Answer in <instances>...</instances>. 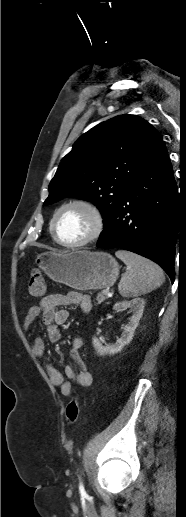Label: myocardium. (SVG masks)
Masks as SVG:
<instances>
[{
  "instance_id": "f54148a6",
  "label": "myocardium",
  "mask_w": 186,
  "mask_h": 517,
  "mask_svg": "<svg viewBox=\"0 0 186 517\" xmlns=\"http://www.w3.org/2000/svg\"><path fill=\"white\" fill-rule=\"evenodd\" d=\"M71 207H79V208H82L85 211H87L92 219V227H91L89 234L87 236H85L83 239H81L78 242L68 243V242H64V241L60 240V238L58 237L57 232H56V222H57L59 215L65 209L71 208ZM104 226H105L104 216H103L101 210L99 209V207L87 199L78 198V199L70 200L67 203H64L55 211V213L51 219L50 231H51L52 237L59 245L66 247V248L73 249V248L83 247V246L88 245V244L92 243L93 241H95L103 232Z\"/></svg>"
}]
</instances>
